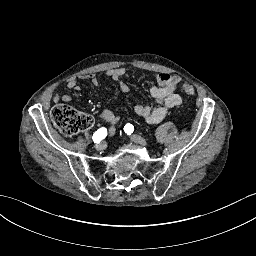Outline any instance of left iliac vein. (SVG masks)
Here are the masks:
<instances>
[{
    "label": "left iliac vein",
    "instance_id": "obj_1",
    "mask_svg": "<svg viewBox=\"0 0 256 256\" xmlns=\"http://www.w3.org/2000/svg\"><path fill=\"white\" fill-rule=\"evenodd\" d=\"M131 140L139 145H142V146L147 145V141L143 137L136 135V134L131 136Z\"/></svg>",
    "mask_w": 256,
    "mask_h": 256
}]
</instances>
